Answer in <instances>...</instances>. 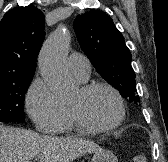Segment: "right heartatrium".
<instances>
[{
    "mask_svg": "<svg viewBox=\"0 0 168 162\" xmlns=\"http://www.w3.org/2000/svg\"><path fill=\"white\" fill-rule=\"evenodd\" d=\"M25 106L40 132L55 133L67 122V107L41 78H36L31 83L25 96Z\"/></svg>",
    "mask_w": 168,
    "mask_h": 162,
    "instance_id": "obj_1",
    "label": "right heart atrium"
}]
</instances>
